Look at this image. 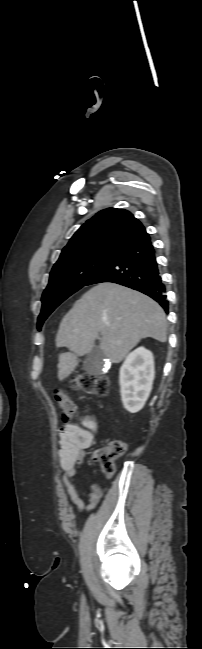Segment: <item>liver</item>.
I'll list each match as a JSON object with an SVG mask.
<instances>
[{"mask_svg":"<svg viewBox=\"0 0 202 649\" xmlns=\"http://www.w3.org/2000/svg\"><path fill=\"white\" fill-rule=\"evenodd\" d=\"M99 335L103 354L119 363L143 338L166 342V315L157 302L131 288L109 282L92 287L59 325L56 346L70 351L59 354L60 381L74 371L78 356L93 349Z\"/></svg>","mask_w":202,"mask_h":649,"instance_id":"1","label":"liver"}]
</instances>
